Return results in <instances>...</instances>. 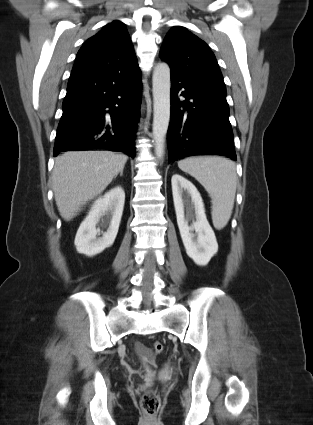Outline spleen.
Instances as JSON below:
<instances>
[{
    "label": "spleen",
    "instance_id": "3e777b00",
    "mask_svg": "<svg viewBox=\"0 0 313 425\" xmlns=\"http://www.w3.org/2000/svg\"><path fill=\"white\" fill-rule=\"evenodd\" d=\"M178 167L194 177L212 199V221L216 229L224 228L232 214L237 187L234 162L224 157H189Z\"/></svg>",
    "mask_w": 313,
    "mask_h": 425
}]
</instances>
